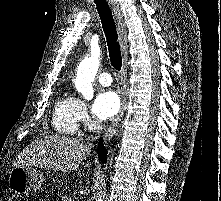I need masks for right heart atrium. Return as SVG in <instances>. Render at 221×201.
Listing matches in <instances>:
<instances>
[{
	"instance_id": "right-heart-atrium-1",
	"label": "right heart atrium",
	"mask_w": 221,
	"mask_h": 201,
	"mask_svg": "<svg viewBox=\"0 0 221 201\" xmlns=\"http://www.w3.org/2000/svg\"><path fill=\"white\" fill-rule=\"evenodd\" d=\"M74 112L77 124H85L87 122V107L83 100L74 98Z\"/></svg>"
}]
</instances>
